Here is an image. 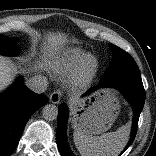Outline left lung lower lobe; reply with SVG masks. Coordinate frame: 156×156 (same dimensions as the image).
<instances>
[{"mask_svg": "<svg viewBox=\"0 0 156 156\" xmlns=\"http://www.w3.org/2000/svg\"><path fill=\"white\" fill-rule=\"evenodd\" d=\"M100 87H115L120 89L125 94L130 104L133 105L134 110L133 128L130 141L126 146V148H128L135 138L139 116L145 102V91L142 80L122 79V78L100 80V84L98 86L90 88L87 92H90ZM67 121H68L67 106L65 104H61L58 109L57 143L62 156H74L67 143L66 137ZM126 148L124 149V151L126 150Z\"/></svg>", "mask_w": 156, "mask_h": 156, "instance_id": "left-lung-lower-lobe-1", "label": "left lung lower lobe"}]
</instances>
